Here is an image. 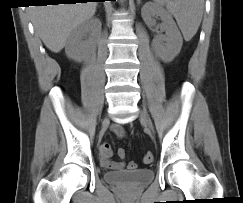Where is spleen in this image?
Here are the masks:
<instances>
[{
  "label": "spleen",
  "mask_w": 243,
  "mask_h": 203,
  "mask_svg": "<svg viewBox=\"0 0 243 203\" xmlns=\"http://www.w3.org/2000/svg\"><path fill=\"white\" fill-rule=\"evenodd\" d=\"M174 16L186 41L196 34L203 17L204 0H154Z\"/></svg>",
  "instance_id": "1"
}]
</instances>
